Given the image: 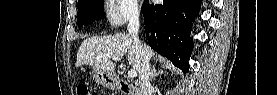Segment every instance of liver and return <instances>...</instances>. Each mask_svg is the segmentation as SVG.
Segmentation results:
<instances>
[{
  "label": "liver",
  "mask_w": 277,
  "mask_h": 95,
  "mask_svg": "<svg viewBox=\"0 0 277 95\" xmlns=\"http://www.w3.org/2000/svg\"><path fill=\"white\" fill-rule=\"evenodd\" d=\"M149 59L154 56V51L144 45ZM128 54V63L137 70L135 45L129 34L116 33L109 36H95L85 39L77 52L76 66L88 64L93 68L111 73L116 63L111 58H121Z\"/></svg>",
  "instance_id": "1"
}]
</instances>
